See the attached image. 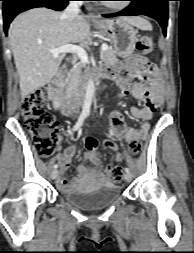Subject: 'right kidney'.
<instances>
[{"label":"right kidney","instance_id":"1","mask_svg":"<svg viewBox=\"0 0 194 253\" xmlns=\"http://www.w3.org/2000/svg\"><path fill=\"white\" fill-rule=\"evenodd\" d=\"M54 107L57 108L58 107V102L54 103Z\"/></svg>","mask_w":194,"mask_h":253}]
</instances>
